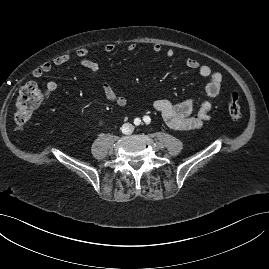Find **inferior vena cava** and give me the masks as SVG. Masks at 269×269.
I'll list each match as a JSON object with an SVG mask.
<instances>
[{
    "label": "inferior vena cava",
    "mask_w": 269,
    "mask_h": 269,
    "mask_svg": "<svg viewBox=\"0 0 269 269\" xmlns=\"http://www.w3.org/2000/svg\"><path fill=\"white\" fill-rule=\"evenodd\" d=\"M134 129L133 125L132 124H129V123H125L123 126H122V132L124 134H130L132 132V130Z\"/></svg>",
    "instance_id": "obj_1"
}]
</instances>
